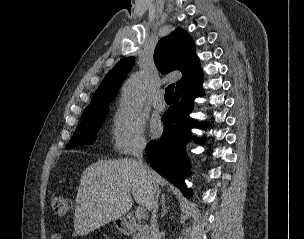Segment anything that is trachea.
Returning <instances> with one entry per match:
<instances>
[{
	"instance_id": "1",
	"label": "trachea",
	"mask_w": 304,
	"mask_h": 239,
	"mask_svg": "<svg viewBox=\"0 0 304 239\" xmlns=\"http://www.w3.org/2000/svg\"><path fill=\"white\" fill-rule=\"evenodd\" d=\"M174 84H170L165 89V100H172L173 99V93H174Z\"/></svg>"
}]
</instances>
